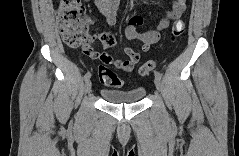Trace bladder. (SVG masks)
I'll list each match as a JSON object with an SVG mask.
<instances>
[{"label":"bladder","instance_id":"bladder-1","mask_svg":"<svg viewBox=\"0 0 239 156\" xmlns=\"http://www.w3.org/2000/svg\"><path fill=\"white\" fill-rule=\"evenodd\" d=\"M146 94L144 87H135L129 90L102 89L103 99L113 104H131L141 101Z\"/></svg>","mask_w":239,"mask_h":156}]
</instances>
